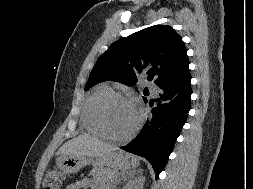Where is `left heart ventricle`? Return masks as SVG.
<instances>
[{
	"label": "left heart ventricle",
	"mask_w": 253,
	"mask_h": 189,
	"mask_svg": "<svg viewBox=\"0 0 253 189\" xmlns=\"http://www.w3.org/2000/svg\"><path fill=\"white\" fill-rule=\"evenodd\" d=\"M136 109L127 103L115 101L105 109V120L109 130L117 136L130 132L137 122Z\"/></svg>",
	"instance_id": "1"
}]
</instances>
